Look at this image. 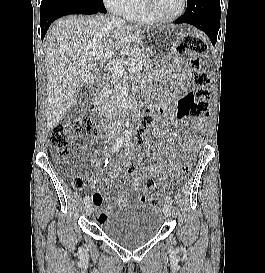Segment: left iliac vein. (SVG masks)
Instances as JSON below:
<instances>
[{"mask_svg":"<svg viewBox=\"0 0 265 273\" xmlns=\"http://www.w3.org/2000/svg\"><path fill=\"white\" fill-rule=\"evenodd\" d=\"M163 211H164L165 216H167V217L171 216L172 211H173L171 204L166 203L164 205Z\"/></svg>","mask_w":265,"mask_h":273,"instance_id":"obj_1","label":"left iliac vein"}]
</instances>
